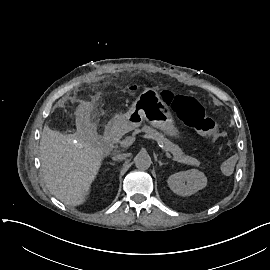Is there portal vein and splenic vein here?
Wrapping results in <instances>:
<instances>
[{
  "instance_id": "1",
  "label": "portal vein and splenic vein",
  "mask_w": 270,
  "mask_h": 270,
  "mask_svg": "<svg viewBox=\"0 0 270 270\" xmlns=\"http://www.w3.org/2000/svg\"><path fill=\"white\" fill-rule=\"evenodd\" d=\"M136 141H137V138L134 135H131V136L126 138L127 144H134V143H136ZM160 147L163 148L164 146L160 145ZM163 153L167 156L168 159H171V155L169 154V152H167L166 150H163ZM173 160H174V158H173Z\"/></svg>"
}]
</instances>
